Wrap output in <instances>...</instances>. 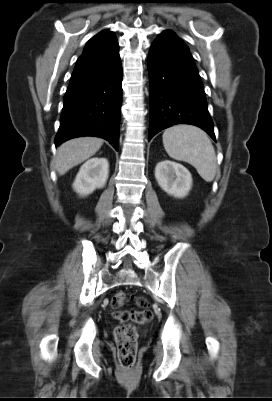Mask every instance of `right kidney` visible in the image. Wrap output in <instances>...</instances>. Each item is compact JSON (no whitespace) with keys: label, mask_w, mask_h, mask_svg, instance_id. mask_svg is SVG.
I'll return each mask as SVG.
<instances>
[{"label":"right kidney","mask_w":272,"mask_h":401,"mask_svg":"<svg viewBox=\"0 0 272 401\" xmlns=\"http://www.w3.org/2000/svg\"><path fill=\"white\" fill-rule=\"evenodd\" d=\"M109 174V163L106 158L94 157L80 168L73 183V189L81 196L91 194L96 188H103Z\"/></svg>","instance_id":"obj_1"}]
</instances>
